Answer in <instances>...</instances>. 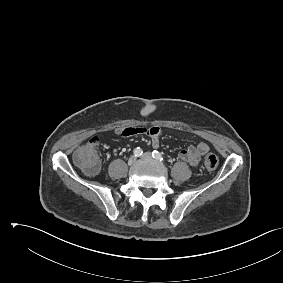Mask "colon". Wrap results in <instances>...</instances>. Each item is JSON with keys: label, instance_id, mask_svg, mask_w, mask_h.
Wrapping results in <instances>:
<instances>
[{"label": "colon", "instance_id": "obj_1", "mask_svg": "<svg viewBox=\"0 0 283 283\" xmlns=\"http://www.w3.org/2000/svg\"><path fill=\"white\" fill-rule=\"evenodd\" d=\"M99 144L100 138L98 136H93L74 154L75 162L88 174H94L99 169ZM218 164L219 159L214 153H208L205 156L204 167L208 171L215 170Z\"/></svg>", "mask_w": 283, "mask_h": 283}]
</instances>
